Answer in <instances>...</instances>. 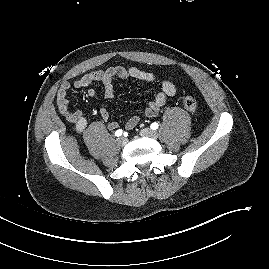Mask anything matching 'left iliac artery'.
Returning <instances> with one entry per match:
<instances>
[{"instance_id":"44dca946","label":"left iliac artery","mask_w":269,"mask_h":269,"mask_svg":"<svg viewBox=\"0 0 269 269\" xmlns=\"http://www.w3.org/2000/svg\"><path fill=\"white\" fill-rule=\"evenodd\" d=\"M151 129L156 130L159 127V124L157 122H154L151 124Z\"/></svg>"}]
</instances>
